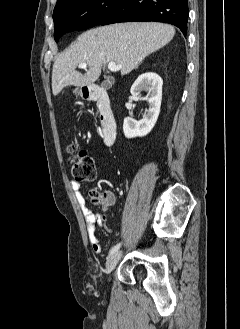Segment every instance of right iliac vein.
<instances>
[{
  "instance_id": "obj_1",
  "label": "right iliac vein",
  "mask_w": 240,
  "mask_h": 329,
  "mask_svg": "<svg viewBox=\"0 0 240 329\" xmlns=\"http://www.w3.org/2000/svg\"><path fill=\"white\" fill-rule=\"evenodd\" d=\"M121 255H122V252L118 251L107 259V262H106L107 273H110L116 267L117 263L119 262V260L121 258Z\"/></svg>"
}]
</instances>
